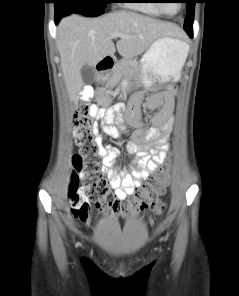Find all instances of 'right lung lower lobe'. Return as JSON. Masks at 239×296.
Here are the masks:
<instances>
[{"instance_id":"right-lung-lower-lobe-1","label":"right lung lower lobe","mask_w":239,"mask_h":296,"mask_svg":"<svg viewBox=\"0 0 239 296\" xmlns=\"http://www.w3.org/2000/svg\"><path fill=\"white\" fill-rule=\"evenodd\" d=\"M55 23L57 24L59 20L65 16L63 13H60L57 8H55Z\"/></svg>"}]
</instances>
